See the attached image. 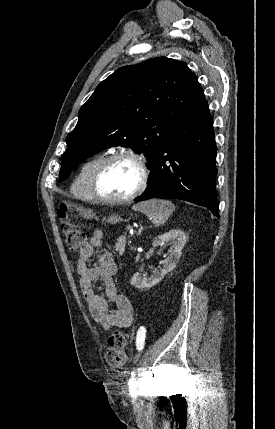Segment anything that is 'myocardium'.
I'll return each instance as SVG.
<instances>
[{
  "label": "myocardium",
  "mask_w": 275,
  "mask_h": 429,
  "mask_svg": "<svg viewBox=\"0 0 275 429\" xmlns=\"http://www.w3.org/2000/svg\"><path fill=\"white\" fill-rule=\"evenodd\" d=\"M118 160H130L134 162L139 169L140 179L136 189L132 193H130L125 197L112 198V197L105 196L101 193L99 183H100L102 174L107 169V167L111 163ZM148 177H149L148 167L141 156L131 151L117 152L104 157L96 166L90 178V192L94 200L101 203H105V204L128 203L143 193V191L147 186Z\"/></svg>",
  "instance_id": "myocardium-1"
}]
</instances>
